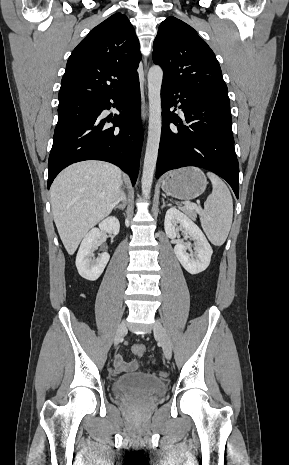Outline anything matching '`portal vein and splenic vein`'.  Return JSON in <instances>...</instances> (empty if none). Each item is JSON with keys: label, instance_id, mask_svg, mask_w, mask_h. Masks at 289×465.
<instances>
[{"label": "portal vein and splenic vein", "instance_id": "obj_1", "mask_svg": "<svg viewBox=\"0 0 289 465\" xmlns=\"http://www.w3.org/2000/svg\"><path fill=\"white\" fill-rule=\"evenodd\" d=\"M185 208L186 209H193V210H195L197 212H200V210H201L200 207H198L197 204H195V203L185 204Z\"/></svg>", "mask_w": 289, "mask_h": 465}]
</instances>
